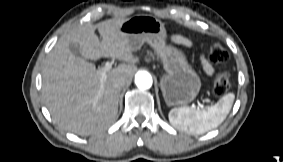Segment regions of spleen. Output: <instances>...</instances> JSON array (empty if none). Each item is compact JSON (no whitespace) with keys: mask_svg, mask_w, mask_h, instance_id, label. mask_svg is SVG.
<instances>
[{"mask_svg":"<svg viewBox=\"0 0 283 162\" xmlns=\"http://www.w3.org/2000/svg\"><path fill=\"white\" fill-rule=\"evenodd\" d=\"M235 95L228 93L216 104L202 109L189 107L173 108L168 114L170 123L190 134H203L218 127L229 114Z\"/></svg>","mask_w":283,"mask_h":162,"instance_id":"spleen-1","label":"spleen"}]
</instances>
